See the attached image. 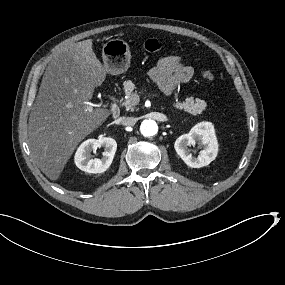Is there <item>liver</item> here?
Wrapping results in <instances>:
<instances>
[{"label":"liver","mask_w":285,"mask_h":285,"mask_svg":"<svg viewBox=\"0 0 285 285\" xmlns=\"http://www.w3.org/2000/svg\"><path fill=\"white\" fill-rule=\"evenodd\" d=\"M107 72L93 51V39L59 50L46 68L29 116L28 146L51 181L60 178L79 143L112 114L88 103Z\"/></svg>","instance_id":"obj_1"}]
</instances>
